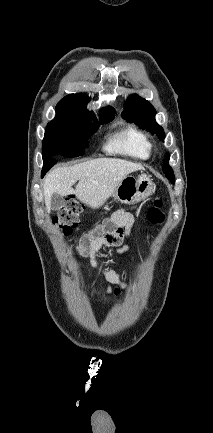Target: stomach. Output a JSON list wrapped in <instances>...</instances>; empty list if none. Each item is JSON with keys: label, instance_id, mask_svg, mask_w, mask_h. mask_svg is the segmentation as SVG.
I'll return each instance as SVG.
<instances>
[{"label": "stomach", "instance_id": "1", "mask_svg": "<svg viewBox=\"0 0 213 433\" xmlns=\"http://www.w3.org/2000/svg\"><path fill=\"white\" fill-rule=\"evenodd\" d=\"M154 192V183L145 174L126 176L115 188L112 196L123 204H135L147 199Z\"/></svg>", "mask_w": 213, "mask_h": 433}]
</instances>
